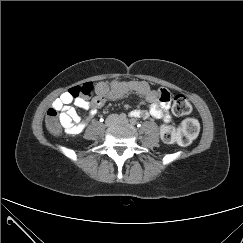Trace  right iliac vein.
I'll return each mask as SVG.
<instances>
[{
	"instance_id": "1",
	"label": "right iliac vein",
	"mask_w": 243,
	"mask_h": 243,
	"mask_svg": "<svg viewBox=\"0 0 243 243\" xmlns=\"http://www.w3.org/2000/svg\"><path fill=\"white\" fill-rule=\"evenodd\" d=\"M116 116H111V117H109L107 120H106V125L107 126H110V125H112L115 121H116Z\"/></svg>"
}]
</instances>
